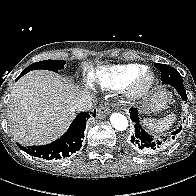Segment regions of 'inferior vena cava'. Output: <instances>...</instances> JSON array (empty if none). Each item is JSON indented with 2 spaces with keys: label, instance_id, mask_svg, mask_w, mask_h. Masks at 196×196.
<instances>
[{
  "label": "inferior vena cava",
  "instance_id": "602c4592",
  "mask_svg": "<svg viewBox=\"0 0 196 196\" xmlns=\"http://www.w3.org/2000/svg\"><path fill=\"white\" fill-rule=\"evenodd\" d=\"M74 111L83 112L92 108V98L88 95H79L72 101Z\"/></svg>",
  "mask_w": 196,
  "mask_h": 196
}]
</instances>
